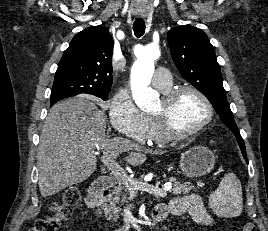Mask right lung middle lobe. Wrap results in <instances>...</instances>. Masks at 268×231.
Here are the masks:
<instances>
[{"label": "right lung middle lobe", "mask_w": 268, "mask_h": 231, "mask_svg": "<svg viewBox=\"0 0 268 231\" xmlns=\"http://www.w3.org/2000/svg\"><path fill=\"white\" fill-rule=\"evenodd\" d=\"M66 94V91L63 88H52L51 92V100L54 98L61 97ZM103 100H107L108 94L95 95Z\"/></svg>", "instance_id": "obj_1"}]
</instances>
